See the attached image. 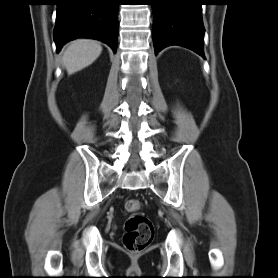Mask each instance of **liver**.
Masks as SVG:
<instances>
[{
	"mask_svg": "<svg viewBox=\"0 0 278 278\" xmlns=\"http://www.w3.org/2000/svg\"><path fill=\"white\" fill-rule=\"evenodd\" d=\"M99 42L91 39H77L67 46L62 62L68 74H73L91 65L101 54Z\"/></svg>",
	"mask_w": 278,
	"mask_h": 278,
	"instance_id": "6515ba94",
	"label": "liver"
}]
</instances>
